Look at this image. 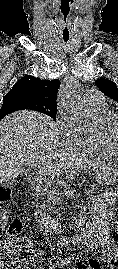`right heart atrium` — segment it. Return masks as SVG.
<instances>
[{
  "label": "right heart atrium",
  "mask_w": 118,
  "mask_h": 269,
  "mask_svg": "<svg viewBox=\"0 0 118 269\" xmlns=\"http://www.w3.org/2000/svg\"><path fill=\"white\" fill-rule=\"evenodd\" d=\"M59 123L69 144L79 147L86 140L88 134L70 118L61 115L59 118Z\"/></svg>",
  "instance_id": "obj_1"
}]
</instances>
